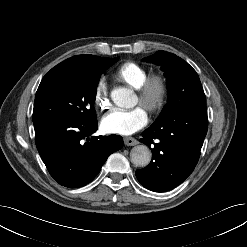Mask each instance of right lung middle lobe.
I'll return each mask as SVG.
<instances>
[{
	"label": "right lung middle lobe",
	"instance_id": "dd1d6c3e",
	"mask_svg": "<svg viewBox=\"0 0 247 247\" xmlns=\"http://www.w3.org/2000/svg\"><path fill=\"white\" fill-rule=\"evenodd\" d=\"M118 59L101 57L97 65L89 70L51 69L36 92L33 123L72 119L96 121L93 104L100 76Z\"/></svg>",
	"mask_w": 247,
	"mask_h": 247
}]
</instances>
